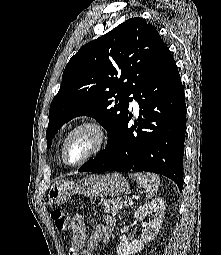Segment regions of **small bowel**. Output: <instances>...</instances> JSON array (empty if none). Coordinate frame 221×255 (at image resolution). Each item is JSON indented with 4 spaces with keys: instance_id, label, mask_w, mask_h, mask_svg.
<instances>
[{
    "instance_id": "c3829d8e",
    "label": "small bowel",
    "mask_w": 221,
    "mask_h": 255,
    "mask_svg": "<svg viewBox=\"0 0 221 255\" xmlns=\"http://www.w3.org/2000/svg\"><path fill=\"white\" fill-rule=\"evenodd\" d=\"M114 226V218L111 215H104L102 223L94 228L89 237L86 236L84 228L79 233H72L69 255H93L100 240L108 241Z\"/></svg>"
}]
</instances>
